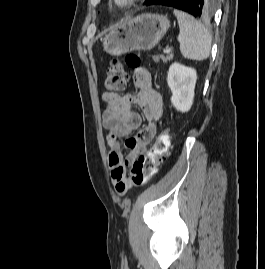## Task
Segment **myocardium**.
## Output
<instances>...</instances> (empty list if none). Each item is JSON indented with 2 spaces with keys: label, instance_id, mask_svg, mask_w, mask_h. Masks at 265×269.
<instances>
[{
  "label": "myocardium",
  "instance_id": "myocardium-1",
  "mask_svg": "<svg viewBox=\"0 0 265 269\" xmlns=\"http://www.w3.org/2000/svg\"><path fill=\"white\" fill-rule=\"evenodd\" d=\"M139 0H111L112 5L118 10H125L132 7Z\"/></svg>",
  "mask_w": 265,
  "mask_h": 269
}]
</instances>
